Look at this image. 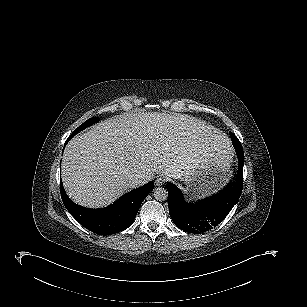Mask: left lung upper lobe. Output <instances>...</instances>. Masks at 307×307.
I'll list each match as a JSON object with an SVG mask.
<instances>
[{
    "label": "left lung upper lobe",
    "mask_w": 307,
    "mask_h": 307,
    "mask_svg": "<svg viewBox=\"0 0 307 307\" xmlns=\"http://www.w3.org/2000/svg\"><path fill=\"white\" fill-rule=\"evenodd\" d=\"M230 137H231L232 143L235 147L237 156H243L244 157L243 148H242L241 143L238 140V138L232 132H230Z\"/></svg>",
    "instance_id": "obj_1"
}]
</instances>
